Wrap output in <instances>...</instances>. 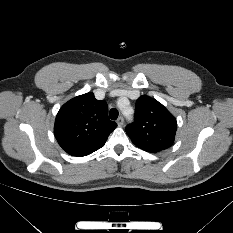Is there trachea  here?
<instances>
[{"label": "trachea", "mask_w": 233, "mask_h": 233, "mask_svg": "<svg viewBox=\"0 0 233 233\" xmlns=\"http://www.w3.org/2000/svg\"><path fill=\"white\" fill-rule=\"evenodd\" d=\"M118 110L116 108H112L109 112V116L112 120H116L118 118Z\"/></svg>", "instance_id": "1"}]
</instances>
